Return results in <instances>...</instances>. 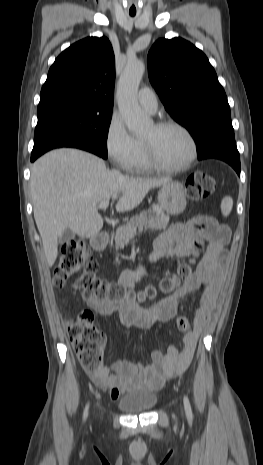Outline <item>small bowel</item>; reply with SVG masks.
Masks as SVG:
<instances>
[{
  "instance_id": "c3829d8e",
  "label": "small bowel",
  "mask_w": 263,
  "mask_h": 465,
  "mask_svg": "<svg viewBox=\"0 0 263 465\" xmlns=\"http://www.w3.org/2000/svg\"><path fill=\"white\" fill-rule=\"evenodd\" d=\"M228 232L219 226L205 227L199 218L186 223H173L155 241L148 257L150 263L165 258H184L197 253L202 255L195 272L184 283L180 292L155 306L144 309L135 302L112 304L97 299H86L88 306L108 317L117 313L120 324L150 329L156 324L166 323L178 315L180 304L200 288L203 289L198 306L194 311V330L185 333L182 348L168 346L163 352L155 349L147 363L128 359L116 360L96 372H89L95 385L110 391L111 398L117 399L122 393L142 388L160 389L164 382L184 372L193 358L199 334L210 318L222 281L224 246ZM203 241L206 243L203 244ZM144 274V266L124 271L119 284L132 289Z\"/></svg>"
}]
</instances>
